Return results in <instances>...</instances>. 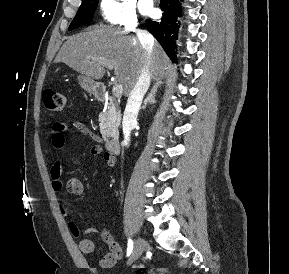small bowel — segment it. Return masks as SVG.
I'll use <instances>...</instances> for the list:
<instances>
[{
  "mask_svg": "<svg viewBox=\"0 0 289 274\" xmlns=\"http://www.w3.org/2000/svg\"><path fill=\"white\" fill-rule=\"evenodd\" d=\"M69 128H73L84 135H88L96 142L100 141V138L81 122L73 121L71 124L58 122L52 126L51 145L53 149L60 150L64 147L66 142V132ZM90 152L92 156L100 157L107 166L111 167L115 164L114 156L110 152L104 151L100 145H94ZM62 172V160L61 158H58L50 168L52 189L56 193L60 192L63 188ZM65 190L69 195L81 196L84 193V185L79 179L71 178L66 182ZM60 210L63 215H67V209L64 203H60ZM68 228L75 237L96 232V229L93 227H87L80 230L73 222L68 223ZM103 237L109 245L110 252L100 259L99 265L102 268H111L122 258L124 248L115 242L108 233H104ZM79 249L83 254H92L95 250V244L93 240L83 238L79 242Z\"/></svg>",
  "mask_w": 289,
  "mask_h": 274,
  "instance_id": "small-bowel-1",
  "label": "small bowel"
}]
</instances>
